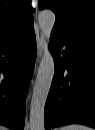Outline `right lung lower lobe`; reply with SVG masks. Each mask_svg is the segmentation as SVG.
Returning a JSON list of instances; mask_svg holds the SVG:
<instances>
[{
	"label": "right lung lower lobe",
	"instance_id": "98d812e1",
	"mask_svg": "<svg viewBox=\"0 0 95 130\" xmlns=\"http://www.w3.org/2000/svg\"><path fill=\"white\" fill-rule=\"evenodd\" d=\"M35 58L33 28L0 44V123L13 130L24 128L25 99Z\"/></svg>",
	"mask_w": 95,
	"mask_h": 130
}]
</instances>
